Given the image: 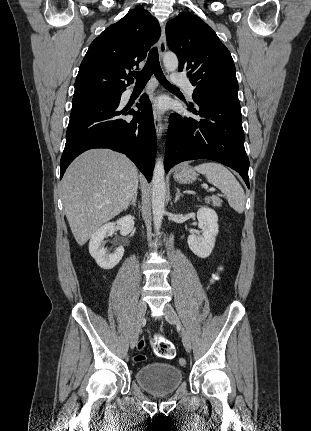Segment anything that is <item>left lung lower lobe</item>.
I'll return each instance as SVG.
<instances>
[{"mask_svg":"<svg viewBox=\"0 0 311 431\" xmlns=\"http://www.w3.org/2000/svg\"><path fill=\"white\" fill-rule=\"evenodd\" d=\"M189 111L201 117L171 116L164 166L166 172L182 161L210 159L236 170L249 188V160L244 148L238 96L212 95L195 100Z\"/></svg>","mask_w":311,"mask_h":431,"instance_id":"0a47b994","label":"left lung lower lobe"}]
</instances>
